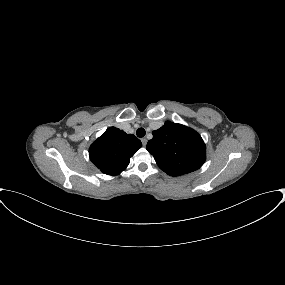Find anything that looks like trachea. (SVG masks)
<instances>
[{
	"mask_svg": "<svg viewBox=\"0 0 285 285\" xmlns=\"http://www.w3.org/2000/svg\"><path fill=\"white\" fill-rule=\"evenodd\" d=\"M145 134H146V131H145L144 128H138L137 131H136V135H137L138 137H144Z\"/></svg>",
	"mask_w": 285,
	"mask_h": 285,
	"instance_id": "3493384b",
	"label": "trachea"
}]
</instances>
